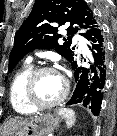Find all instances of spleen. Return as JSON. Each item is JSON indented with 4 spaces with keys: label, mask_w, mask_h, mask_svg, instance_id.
<instances>
[{
    "label": "spleen",
    "mask_w": 117,
    "mask_h": 136,
    "mask_svg": "<svg viewBox=\"0 0 117 136\" xmlns=\"http://www.w3.org/2000/svg\"><path fill=\"white\" fill-rule=\"evenodd\" d=\"M58 115L65 119L68 128L72 127L76 121L75 112L69 108H60L58 110Z\"/></svg>",
    "instance_id": "obj_1"
}]
</instances>
